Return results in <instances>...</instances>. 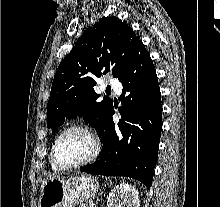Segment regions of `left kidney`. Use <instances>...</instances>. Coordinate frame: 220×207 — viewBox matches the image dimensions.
I'll return each instance as SVG.
<instances>
[{
	"mask_svg": "<svg viewBox=\"0 0 220 207\" xmlns=\"http://www.w3.org/2000/svg\"><path fill=\"white\" fill-rule=\"evenodd\" d=\"M107 207H140L138 190L128 183L115 186L107 197Z\"/></svg>",
	"mask_w": 220,
	"mask_h": 207,
	"instance_id": "left-kidney-1",
	"label": "left kidney"
}]
</instances>
